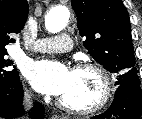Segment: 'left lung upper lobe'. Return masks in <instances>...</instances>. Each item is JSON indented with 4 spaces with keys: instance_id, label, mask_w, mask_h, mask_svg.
<instances>
[{
    "instance_id": "5c2ea615",
    "label": "left lung upper lobe",
    "mask_w": 142,
    "mask_h": 119,
    "mask_svg": "<svg viewBox=\"0 0 142 119\" xmlns=\"http://www.w3.org/2000/svg\"><path fill=\"white\" fill-rule=\"evenodd\" d=\"M89 54L117 76L116 85L140 84L128 12L121 0H71Z\"/></svg>"
}]
</instances>
